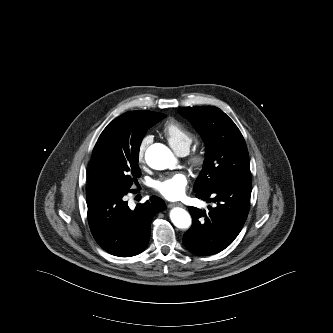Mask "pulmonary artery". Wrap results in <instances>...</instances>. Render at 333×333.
Returning a JSON list of instances; mask_svg holds the SVG:
<instances>
[{"mask_svg": "<svg viewBox=\"0 0 333 333\" xmlns=\"http://www.w3.org/2000/svg\"><path fill=\"white\" fill-rule=\"evenodd\" d=\"M186 154H187V152H185V151L179 153V155H181V156H184Z\"/></svg>", "mask_w": 333, "mask_h": 333, "instance_id": "obj_1", "label": "pulmonary artery"}]
</instances>
